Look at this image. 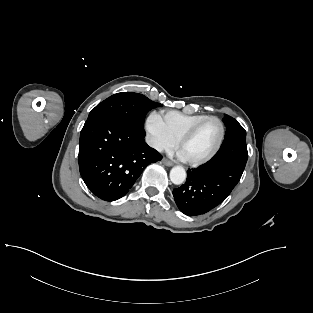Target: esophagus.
Listing matches in <instances>:
<instances>
[{"mask_svg": "<svg viewBox=\"0 0 313 313\" xmlns=\"http://www.w3.org/2000/svg\"><path fill=\"white\" fill-rule=\"evenodd\" d=\"M162 163L166 166H173V162H171L170 160L166 159V158H163L162 159Z\"/></svg>", "mask_w": 313, "mask_h": 313, "instance_id": "esophagus-1", "label": "esophagus"}]
</instances>
